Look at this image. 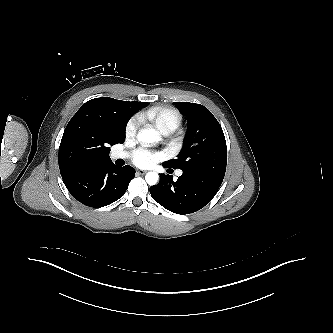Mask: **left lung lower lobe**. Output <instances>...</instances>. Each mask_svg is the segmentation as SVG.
<instances>
[{
  "mask_svg": "<svg viewBox=\"0 0 333 333\" xmlns=\"http://www.w3.org/2000/svg\"><path fill=\"white\" fill-rule=\"evenodd\" d=\"M224 175L211 171H183L177 181H173L170 175L160 174V182L150 188V193L167 210L176 214H190L213 199Z\"/></svg>",
  "mask_w": 333,
  "mask_h": 333,
  "instance_id": "obj_1",
  "label": "left lung lower lobe"
}]
</instances>
